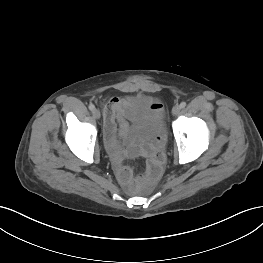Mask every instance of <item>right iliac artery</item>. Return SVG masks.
<instances>
[{
	"label": "right iliac artery",
	"instance_id": "right-iliac-artery-1",
	"mask_svg": "<svg viewBox=\"0 0 263 263\" xmlns=\"http://www.w3.org/2000/svg\"><path fill=\"white\" fill-rule=\"evenodd\" d=\"M89 109L93 111L95 109V106L93 104H89Z\"/></svg>",
	"mask_w": 263,
	"mask_h": 263
}]
</instances>
